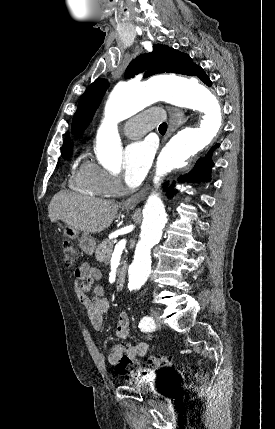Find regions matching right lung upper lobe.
Returning a JSON list of instances; mask_svg holds the SVG:
<instances>
[{"label": "right lung upper lobe", "mask_w": 275, "mask_h": 429, "mask_svg": "<svg viewBox=\"0 0 275 429\" xmlns=\"http://www.w3.org/2000/svg\"><path fill=\"white\" fill-rule=\"evenodd\" d=\"M71 149H72V144H70L69 137L67 136L62 148V156H70L72 151Z\"/></svg>", "instance_id": "obj_1"}]
</instances>
